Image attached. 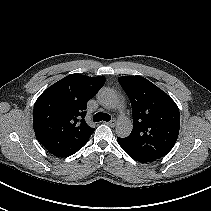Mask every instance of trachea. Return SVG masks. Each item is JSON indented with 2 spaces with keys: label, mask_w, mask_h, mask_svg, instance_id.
<instances>
[{
  "label": "trachea",
  "mask_w": 211,
  "mask_h": 211,
  "mask_svg": "<svg viewBox=\"0 0 211 211\" xmlns=\"http://www.w3.org/2000/svg\"><path fill=\"white\" fill-rule=\"evenodd\" d=\"M94 122H99V121H110L111 120V116L107 113H102V112H98L94 115L93 117Z\"/></svg>",
  "instance_id": "1"
}]
</instances>
